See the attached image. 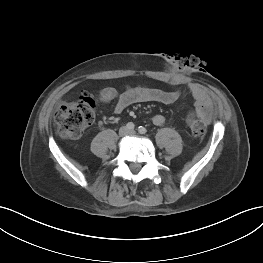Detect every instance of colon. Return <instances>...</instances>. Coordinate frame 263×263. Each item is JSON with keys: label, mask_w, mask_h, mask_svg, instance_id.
Listing matches in <instances>:
<instances>
[{"label": "colon", "mask_w": 263, "mask_h": 263, "mask_svg": "<svg viewBox=\"0 0 263 263\" xmlns=\"http://www.w3.org/2000/svg\"><path fill=\"white\" fill-rule=\"evenodd\" d=\"M58 133L65 139H76L91 125L95 118V102L89 96H82L77 102L61 106L55 113ZM186 122L193 136L203 138L207 127L194 113H189Z\"/></svg>", "instance_id": "colon-1"}]
</instances>
